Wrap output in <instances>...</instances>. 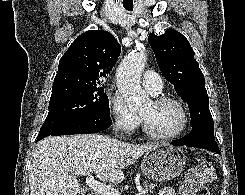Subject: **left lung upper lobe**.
<instances>
[{"mask_svg":"<svg viewBox=\"0 0 245 195\" xmlns=\"http://www.w3.org/2000/svg\"><path fill=\"white\" fill-rule=\"evenodd\" d=\"M148 41L162 74L188 103L193 130H203L214 136L204 75L188 40L178 31L169 29L160 36L151 33Z\"/></svg>","mask_w":245,"mask_h":195,"instance_id":"5c2ea615","label":"left lung upper lobe"}]
</instances>
